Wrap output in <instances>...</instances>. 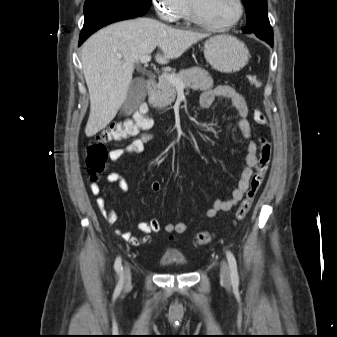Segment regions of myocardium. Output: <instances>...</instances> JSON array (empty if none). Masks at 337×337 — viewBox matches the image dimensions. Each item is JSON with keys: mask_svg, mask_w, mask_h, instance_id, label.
Returning <instances> with one entry per match:
<instances>
[{"mask_svg": "<svg viewBox=\"0 0 337 337\" xmlns=\"http://www.w3.org/2000/svg\"><path fill=\"white\" fill-rule=\"evenodd\" d=\"M235 2L237 5V13L235 17L227 23L216 24V23L206 20L200 15L193 0H187L191 20L202 27H205L210 30H215V31L229 30L240 22V20L242 19L244 15V3H243V0H235Z\"/></svg>", "mask_w": 337, "mask_h": 337, "instance_id": "f54148a6", "label": "myocardium"}]
</instances>
